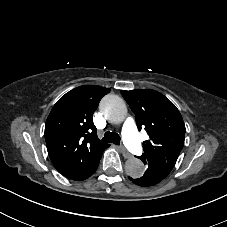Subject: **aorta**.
Here are the masks:
<instances>
[{
  "instance_id": "1",
  "label": "aorta",
  "mask_w": 227,
  "mask_h": 227,
  "mask_svg": "<svg viewBox=\"0 0 227 227\" xmlns=\"http://www.w3.org/2000/svg\"><path fill=\"white\" fill-rule=\"evenodd\" d=\"M103 116L112 123H120L127 116V107L122 98L117 95H106L100 102ZM125 171L132 178H140L145 173V166L138 158H130L125 163Z\"/></svg>"
}]
</instances>
